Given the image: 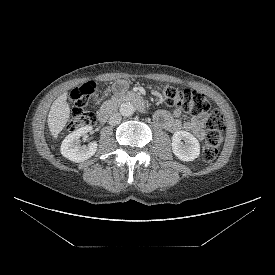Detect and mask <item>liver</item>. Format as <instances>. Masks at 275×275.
<instances>
[{
	"label": "liver",
	"mask_w": 275,
	"mask_h": 275,
	"mask_svg": "<svg viewBox=\"0 0 275 275\" xmlns=\"http://www.w3.org/2000/svg\"><path fill=\"white\" fill-rule=\"evenodd\" d=\"M66 100L67 92H64L53 102L48 114V127L55 139L70 118V107Z\"/></svg>",
	"instance_id": "obj_1"
}]
</instances>
